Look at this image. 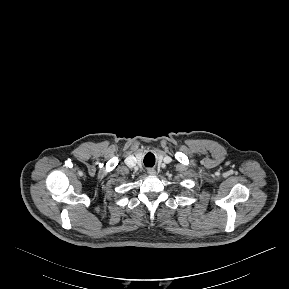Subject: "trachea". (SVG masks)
<instances>
[{
    "label": "trachea",
    "mask_w": 289,
    "mask_h": 289,
    "mask_svg": "<svg viewBox=\"0 0 289 289\" xmlns=\"http://www.w3.org/2000/svg\"><path fill=\"white\" fill-rule=\"evenodd\" d=\"M144 164L146 167H152L155 164V156L151 153H147L144 157Z\"/></svg>",
    "instance_id": "1"
}]
</instances>
